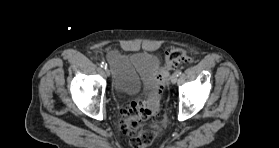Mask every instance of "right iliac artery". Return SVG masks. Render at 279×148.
<instances>
[{"instance_id":"82829eb1","label":"right iliac artery","mask_w":279,"mask_h":148,"mask_svg":"<svg viewBox=\"0 0 279 148\" xmlns=\"http://www.w3.org/2000/svg\"><path fill=\"white\" fill-rule=\"evenodd\" d=\"M101 67L104 68V69H106V68H107V64H106L105 62H102V63H101Z\"/></svg>"}]
</instances>
